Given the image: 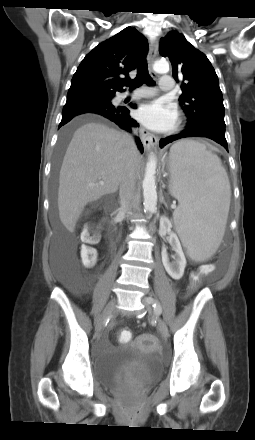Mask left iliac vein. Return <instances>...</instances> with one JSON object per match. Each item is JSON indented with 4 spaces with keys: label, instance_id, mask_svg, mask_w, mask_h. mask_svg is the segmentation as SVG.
<instances>
[{
    "label": "left iliac vein",
    "instance_id": "obj_1",
    "mask_svg": "<svg viewBox=\"0 0 255 440\" xmlns=\"http://www.w3.org/2000/svg\"><path fill=\"white\" fill-rule=\"evenodd\" d=\"M147 298H148V297L143 298V299H142V302L145 304V307H146L148 313H149L154 319H156V321H157V327H158V330H159L161 336H162L164 339H167L168 336H169L168 327H167L166 323L160 318L159 314H157V313L153 310V308L151 307L150 303H148Z\"/></svg>",
    "mask_w": 255,
    "mask_h": 440
}]
</instances>
